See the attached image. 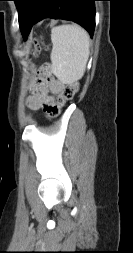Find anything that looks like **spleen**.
<instances>
[{
    "instance_id": "1",
    "label": "spleen",
    "mask_w": 133,
    "mask_h": 253,
    "mask_svg": "<svg viewBox=\"0 0 133 253\" xmlns=\"http://www.w3.org/2000/svg\"><path fill=\"white\" fill-rule=\"evenodd\" d=\"M52 73L64 84L80 80L89 58V35L77 25H61L51 31Z\"/></svg>"
}]
</instances>
